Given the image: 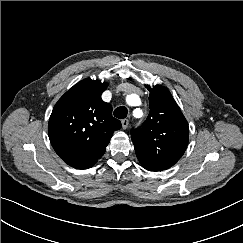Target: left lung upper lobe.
<instances>
[{"label": "left lung upper lobe", "instance_id": "obj_1", "mask_svg": "<svg viewBox=\"0 0 243 243\" xmlns=\"http://www.w3.org/2000/svg\"><path fill=\"white\" fill-rule=\"evenodd\" d=\"M146 88L150 91V113L142 128L131 131V138L142 167L163 171L184 154L189 126L168 89L161 85Z\"/></svg>", "mask_w": 243, "mask_h": 243}]
</instances>
